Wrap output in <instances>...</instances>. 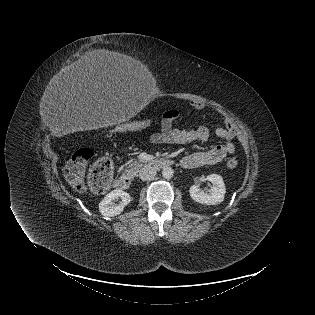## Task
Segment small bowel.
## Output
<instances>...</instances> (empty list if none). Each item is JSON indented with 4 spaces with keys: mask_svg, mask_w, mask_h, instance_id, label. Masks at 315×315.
Listing matches in <instances>:
<instances>
[{
    "mask_svg": "<svg viewBox=\"0 0 315 315\" xmlns=\"http://www.w3.org/2000/svg\"><path fill=\"white\" fill-rule=\"evenodd\" d=\"M190 106L195 110L203 109V104L197 101L190 102ZM180 118V112L176 109L165 112L162 116L160 131L151 135L150 140L156 144H188L198 141H206L210 136V131L205 126H200L195 129L176 128L173 124ZM219 118L224 124L223 127H218L215 134L223 138V144L214 145L213 147L194 152L182 158L181 165L185 168H197L207 165H214L221 162L228 154L235 151L233 138L235 137V129L228 117L219 113Z\"/></svg>",
    "mask_w": 315,
    "mask_h": 315,
    "instance_id": "1",
    "label": "small bowel"
}]
</instances>
